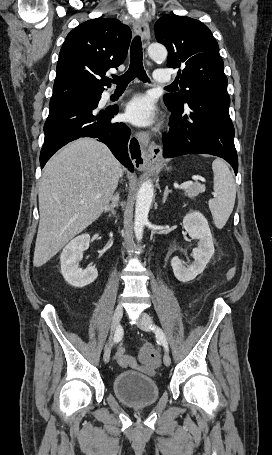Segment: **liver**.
<instances>
[{
    "label": "liver",
    "mask_w": 272,
    "mask_h": 455,
    "mask_svg": "<svg viewBox=\"0 0 272 455\" xmlns=\"http://www.w3.org/2000/svg\"><path fill=\"white\" fill-rule=\"evenodd\" d=\"M122 169L103 143L81 138L46 164L39 186L40 221L33 265L40 267L99 218Z\"/></svg>",
    "instance_id": "6515ba94"
}]
</instances>
